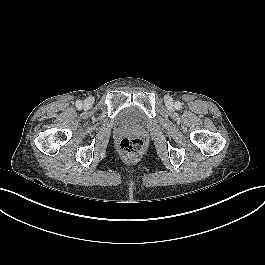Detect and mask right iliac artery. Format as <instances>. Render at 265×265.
Segmentation results:
<instances>
[{
  "mask_svg": "<svg viewBox=\"0 0 265 265\" xmlns=\"http://www.w3.org/2000/svg\"><path fill=\"white\" fill-rule=\"evenodd\" d=\"M76 106H77L78 108H81V107H82V102H81L80 100H77V101H76Z\"/></svg>",
  "mask_w": 265,
  "mask_h": 265,
  "instance_id": "obj_1",
  "label": "right iliac artery"
}]
</instances>
